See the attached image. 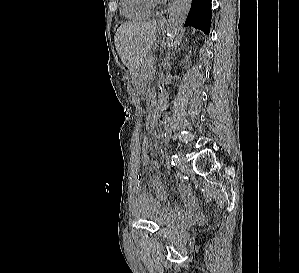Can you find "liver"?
<instances>
[{
  "instance_id": "1",
  "label": "liver",
  "mask_w": 299,
  "mask_h": 273,
  "mask_svg": "<svg viewBox=\"0 0 299 273\" xmlns=\"http://www.w3.org/2000/svg\"><path fill=\"white\" fill-rule=\"evenodd\" d=\"M157 22H128L122 24L115 36V45L123 64L132 78L139 74L141 63L156 41Z\"/></svg>"
}]
</instances>
